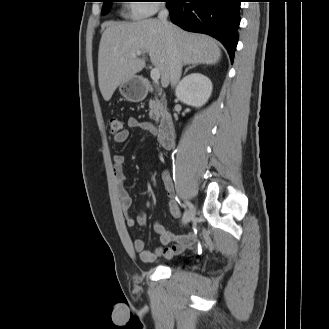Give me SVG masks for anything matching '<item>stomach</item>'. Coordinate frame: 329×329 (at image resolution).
<instances>
[{
	"label": "stomach",
	"mask_w": 329,
	"mask_h": 329,
	"mask_svg": "<svg viewBox=\"0 0 329 329\" xmlns=\"http://www.w3.org/2000/svg\"><path fill=\"white\" fill-rule=\"evenodd\" d=\"M121 95L130 102H140L145 99L148 88L144 79L140 76H133L119 87Z\"/></svg>",
	"instance_id": "1"
}]
</instances>
